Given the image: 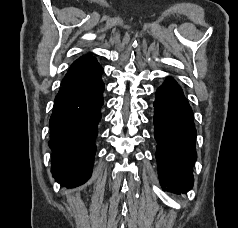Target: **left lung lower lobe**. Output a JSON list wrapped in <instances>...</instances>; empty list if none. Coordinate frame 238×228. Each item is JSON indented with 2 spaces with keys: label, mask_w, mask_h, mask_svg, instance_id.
Masks as SVG:
<instances>
[{
  "label": "left lung lower lobe",
  "mask_w": 238,
  "mask_h": 228,
  "mask_svg": "<svg viewBox=\"0 0 238 228\" xmlns=\"http://www.w3.org/2000/svg\"><path fill=\"white\" fill-rule=\"evenodd\" d=\"M154 114L161 185L167 191L186 193L193 185L196 129L192 109L181 87L171 77L156 91Z\"/></svg>",
  "instance_id": "left-lung-lower-lobe-1"
}]
</instances>
